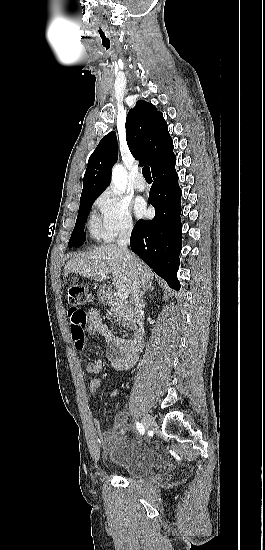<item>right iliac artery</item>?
I'll return each mask as SVG.
<instances>
[{
	"instance_id": "obj_1",
	"label": "right iliac artery",
	"mask_w": 265,
	"mask_h": 550,
	"mask_svg": "<svg viewBox=\"0 0 265 550\" xmlns=\"http://www.w3.org/2000/svg\"><path fill=\"white\" fill-rule=\"evenodd\" d=\"M136 427H137L138 431L140 432V434L143 435L144 432H145L143 425L141 423L137 422Z\"/></svg>"
}]
</instances>
